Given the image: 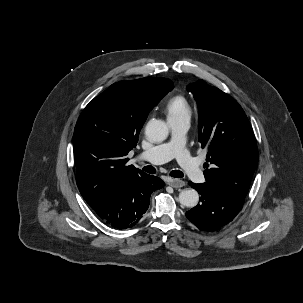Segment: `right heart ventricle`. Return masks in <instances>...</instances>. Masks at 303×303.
<instances>
[{"label": "right heart ventricle", "instance_id": "e07e8e85", "mask_svg": "<svg viewBox=\"0 0 303 303\" xmlns=\"http://www.w3.org/2000/svg\"><path fill=\"white\" fill-rule=\"evenodd\" d=\"M165 113L169 122L190 118L191 106L183 95H175L167 101Z\"/></svg>", "mask_w": 303, "mask_h": 303}]
</instances>
